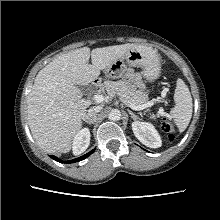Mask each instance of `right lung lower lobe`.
Returning a JSON list of instances; mask_svg holds the SVG:
<instances>
[{
  "instance_id": "98d812e1",
  "label": "right lung lower lobe",
  "mask_w": 220,
  "mask_h": 220,
  "mask_svg": "<svg viewBox=\"0 0 220 220\" xmlns=\"http://www.w3.org/2000/svg\"><path fill=\"white\" fill-rule=\"evenodd\" d=\"M95 151V149L91 150L90 152H88L87 154L79 157V158H76V159H73V160H69V161H62L60 160L59 158L55 157V156H50L52 159L60 162V163H75V162H78V161H81V160H84L85 158H87L88 156H90L93 152Z\"/></svg>"
}]
</instances>
